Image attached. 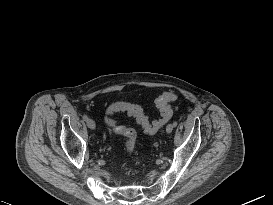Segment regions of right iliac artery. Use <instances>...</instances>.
Listing matches in <instances>:
<instances>
[{"label": "right iliac artery", "instance_id": "right-iliac-artery-1", "mask_svg": "<svg viewBox=\"0 0 273 205\" xmlns=\"http://www.w3.org/2000/svg\"><path fill=\"white\" fill-rule=\"evenodd\" d=\"M83 119L84 121H87L88 120V116L86 114L83 115Z\"/></svg>", "mask_w": 273, "mask_h": 205}]
</instances>
